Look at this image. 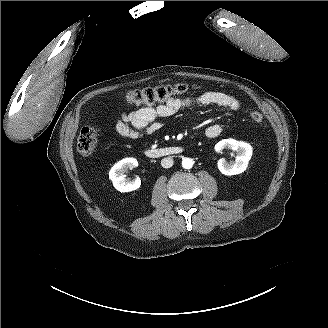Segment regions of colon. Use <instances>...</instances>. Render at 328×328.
I'll return each instance as SVG.
<instances>
[{
  "label": "colon",
  "mask_w": 328,
  "mask_h": 328,
  "mask_svg": "<svg viewBox=\"0 0 328 328\" xmlns=\"http://www.w3.org/2000/svg\"><path fill=\"white\" fill-rule=\"evenodd\" d=\"M190 87L187 84L180 83L176 85L159 86L155 88H148L143 90H136L126 93L124 96L125 101L131 105H154L156 103L167 101L174 95H180L188 92ZM250 118L256 123H261L264 120L260 112L252 111ZM97 132L96 129L87 125L83 127L77 139V150L84 156L91 155L96 147Z\"/></svg>",
  "instance_id": "colon-1"
}]
</instances>
